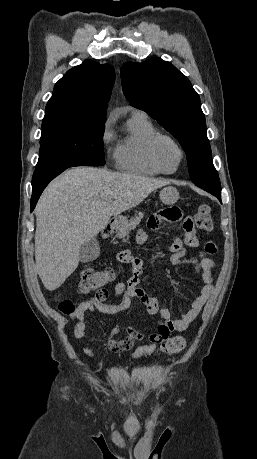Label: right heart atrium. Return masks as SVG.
I'll use <instances>...</instances> for the list:
<instances>
[{"instance_id": "d8ad5b80", "label": "right heart atrium", "mask_w": 257, "mask_h": 459, "mask_svg": "<svg viewBox=\"0 0 257 459\" xmlns=\"http://www.w3.org/2000/svg\"><path fill=\"white\" fill-rule=\"evenodd\" d=\"M113 138V133H112V130H111V125L109 122H106L104 128H103V131H102V134H101V139H102V142L104 144H108L111 142Z\"/></svg>"}]
</instances>
